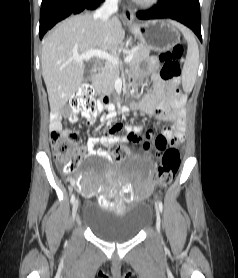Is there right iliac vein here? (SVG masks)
Wrapping results in <instances>:
<instances>
[{
	"instance_id": "right-iliac-vein-1",
	"label": "right iliac vein",
	"mask_w": 238,
	"mask_h": 278,
	"mask_svg": "<svg viewBox=\"0 0 238 278\" xmlns=\"http://www.w3.org/2000/svg\"><path fill=\"white\" fill-rule=\"evenodd\" d=\"M78 207H79V202H78V200H76V201H74V203H73V208H72V215H73V219H74V220L77 219Z\"/></svg>"
}]
</instances>
